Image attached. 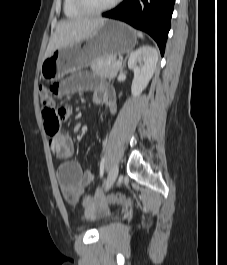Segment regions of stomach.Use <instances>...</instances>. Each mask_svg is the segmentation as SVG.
I'll return each instance as SVG.
<instances>
[{"label":"stomach","mask_w":227,"mask_h":265,"mask_svg":"<svg viewBox=\"0 0 227 265\" xmlns=\"http://www.w3.org/2000/svg\"><path fill=\"white\" fill-rule=\"evenodd\" d=\"M135 31L128 25L107 20L88 38L54 50L41 64V76L56 81L89 66L100 58H116L136 45Z\"/></svg>","instance_id":"stomach-1"}]
</instances>
